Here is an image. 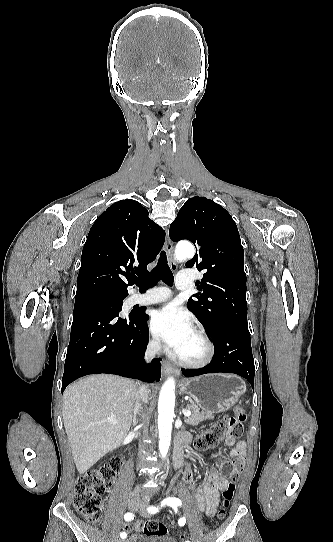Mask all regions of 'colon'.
Segmentation results:
<instances>
[{
  "label": "colon",
  "instance_id": "obj_1",
  "mask_svg": "<svg viewBox=\"0 0 333 542\" xmlns=\"http://www.w3.org/2000/svg\"><path fill=\"white\" fill-rule=\"evenodd\" d=\"M246 414L237 408L232 415H225L214 423L207 431L201 433L195 441L196 448L207 450L217 446L223 439H238L243 433V423ZM244 468V458L235 455L233 460L224 461L223 472L230 482L221 493L220 508L216 517L222 520L226 516V509L234 496L237 483ZM120 463L112 460L103 469L90 474L79 475L73 493V505L77 511L91 523H98L102 517L104 493L113 483ZM142 531L148 537H162L166 534V526L159 520H147L142 525Z\"/></svg>",
  "mask_w": 333,
  "mask_h": 542
}]
</instances>
